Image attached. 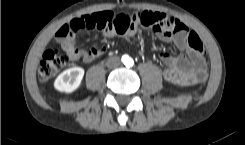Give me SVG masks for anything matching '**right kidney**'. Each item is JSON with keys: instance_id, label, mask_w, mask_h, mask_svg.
<instances>
[{"instance_id": "right-kidney-1", "label": "right kidney", "mask_w": 245, "mask_h": 145, "mask_svg": "<svg viewBox=\"0 0 245 145\" xmlns=\"http://www.w3.org/2000/svg\"><path fill=\"white\" fill-rule=\"evenodd\" d=\"M83 76V68H69L58 75L54 82V88L60 92L71 93L80 86Z\"/></svg>"}]
</instances>
